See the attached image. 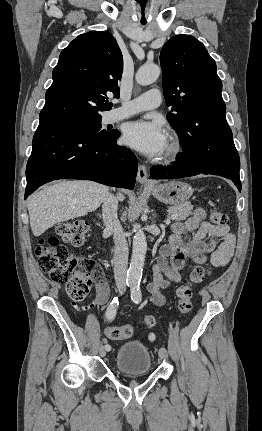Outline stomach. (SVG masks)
Wrapping results in <instances>:
<instances>
[{
  "instance_id": "obj_1",
  "label": "stomach",
  "mask_w": 262,
  "mask_h": 431,
  "mask_svg": "<svg viewBox=\"0 0 262 431\" xmlns=\"http://www.w3.org/2000/svg\"><path fill=\"white\" fill-rule=\"evenodd\" d=\"M150 190L157 200L172 206L185 205L193 193L189 184L179 180L153 186Z\"/></svg>"
}]
</instances>
